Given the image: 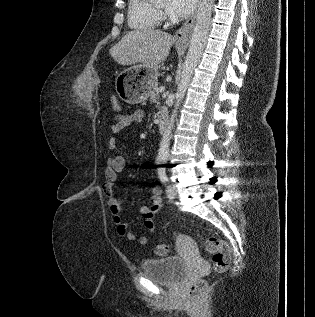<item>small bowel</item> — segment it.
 I'll list each match as a JSON object with an SVG mask.
<instances>
[{
  "mask_svg": "<svg viewBox=\"0 0 315 317\" xmlns=\"http://www.w3.org/2000/svg\"><path fill=\"white\" fill-rule=\"evenodd\" d=\"M144 119V112L142 110H135L130 114H121L116 117V122L112 125L111 129L113 136L109 138L108 147L114 150L117 146L118 136L132 124L142 122ZM125 158L122 155H114L107 159L104 169V182L102 190L107 198L110 211L113 216V223L116 227L117 234L120 237L126 238L130 241L136 239L134 232L130 229L129 223L123 219V213L126 207L120 197L114 194V185L117 180V174L125 167ZM163 207L162 190L160 186L156 185L152 188L151 204L149 206L143 205L139 208V214L144 219V225L150 232H154L155 224L153 221L154 215L159 212ZM139 243L146 245L148 237L143 234L139 237Z\"/></svg>",
  "mask_w": 315,
  "mask_h": 317,
  "instance_id": "c3829d8e",
  "label": "small bowel"
}]
</instances>
